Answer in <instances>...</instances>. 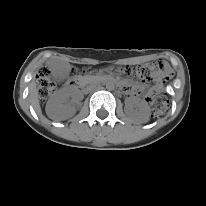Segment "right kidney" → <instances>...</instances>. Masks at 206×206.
Masks as SVG:
<instances>
[{
  "instance_id": "right-kidney-1",
  "label": "right kidney",
  "mask_w": 206,
  "mask_h": 206,
  "mask_svg": "<svg viewBox=\"0 0 206 206\" xmlns=\"http://www.w3.org/2000/svg\"><path fill=\"white\" fill-rule=\"evenodd\" d=\"M70 97L76 101L79 99V93L77 91H59L55 93L46 104L47 115L54 120H64L72 117L75 110L67 103Z\"/></svg>"
}]
</instances>
